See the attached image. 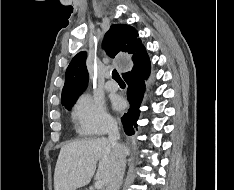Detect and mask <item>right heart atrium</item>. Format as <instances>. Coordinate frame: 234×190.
I'll use <instances>...</instances> for the list:
<instances>
[{
    "label": "right heart atrium",
    "mask_w": 234,
    "mask_h": 190,
    "mask_svg": "<svg viewBox=\"0 0 234 190\" xmlns=\"http://www.w3.org/2000/svg\"><path fill=\"white\" fill-rule=\"evenodd\" d=\"M71 116L76 130L83 135H102L114 128V120L103 102L87 93L77 98Z\"/></svg>",
    "instance_id": "right-heart-atrium-1"
}]
</instances>
